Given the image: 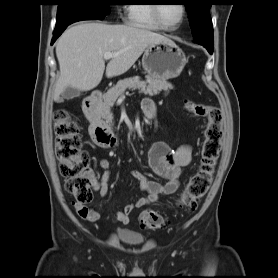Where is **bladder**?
I'll use <instances>...</instances> for the list:
<instances>
[{
	"instance_id": "31cf9c89",
	"label": "bladder",
	"mask_w": 278,
	"mask_h": 278,
	"mask_svg": "<svg viewBox=\"0 0 278 278\" xmlns=\"http://www.w3.org/2000/svg\"><path fill=\"white\" fill-rule=\"evenodd\" d=\"M116 237L122 243L127 244V245H138L144 241L142 236L135 234V233H131L129 231H125V230L117 231Z\"/></svg>"
}]
</instances>
